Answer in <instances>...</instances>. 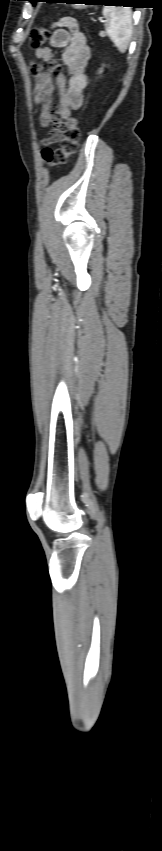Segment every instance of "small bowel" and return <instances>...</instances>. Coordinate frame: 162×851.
I'll list each match as a JSON object with an SVG mask.
<instances>
[{
	"label": "small bowel",
	"mask_w": 162,
	"mask_h": 851,
	"mask_svg": "<svg viewBox=\"0 0 162 851\" xmlns=\"http://www.w3.org/2000/svg\"><path fill=\"white\" fill-rule=\"evenodd\" d=\"M56 25L49 46L38 48L35 52L36 57L45 62L41 65L32 64L30 67L35 80L34 100L42 109L40 123L44 127L51 122L56 124L62 122L71 115L73 110L82 106V92L87 84L85 68L90 59L86 37L79 29L76 19L64 17ZM56 48H64L62 62L67 67L68 78L59 71L54 61L53 54ZM55 87L58 90V102L57 106L53 107ZM53 130L43 139V144L49 145L58 141V136L53 134Z\"/></svg>",
	"instance_id": "obj_1"
}]
</instances>
